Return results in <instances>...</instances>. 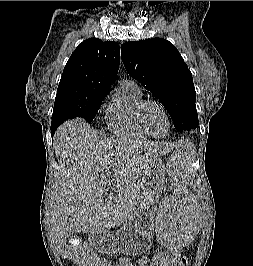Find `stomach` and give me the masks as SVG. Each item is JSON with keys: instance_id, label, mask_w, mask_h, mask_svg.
<instances>
[{"instance_id": "obj_1", "label": "stomach", "mask_w": 253, "mask_h": 266, "mask_svg": "<svg viewBox=\"0 0 253 266\" xmlns=\"http://www.w3.org/2000/svg\"><path fill=\"white\" fill-rule=\"evenodd\" d=\"M164 167L157 160L143 183L139 205L130 219L115 235L104 234L94 246L107 253L118 251L128 256H139L150 249L154 235L155 206L153 195L160 187Z\"/></svg>"}]
</instances>
